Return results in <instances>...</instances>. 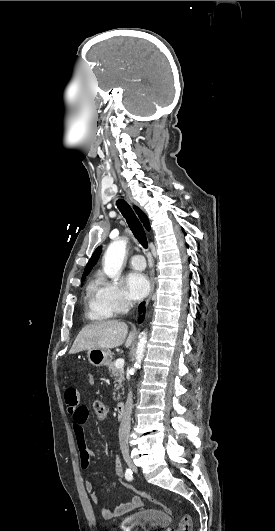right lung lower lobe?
Instances as JSON below:
<instances>
[{"mask_svg": "<svg viewBox=\"0 0 275 531\" xmlns=\"http://www.w3.org/2000/svg\"><path fill=\"white\" fill-rule=\"evenodd\" d=\"M143 308H144V303H141L140 306H139V311L142 312ZM141 321H142V320L140 319V322H141Z\"/></svg>", "mask_w": 275, "mask_h": 531, "instance_id": "obj_1", "label": "right lung lower lobe"}]
</instances>
